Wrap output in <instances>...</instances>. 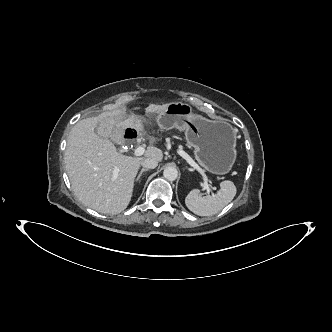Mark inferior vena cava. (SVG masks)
<instances>
[{"mask_svg": "<svg viewBox=\"0 0 332 332\" xmlns=\"http://www.w3.org/2000/svg\"><path fill=\"white\" fill-rule=\"evenodd\" d=\"M141 165L147 169H154L158 166V161L154 158H146L142 160Z\"/></svg>", "mask_w": 332, "mask_h": 332, "instance_id": "602c4592", "label": "inferior vena cava"}]
</instances>
